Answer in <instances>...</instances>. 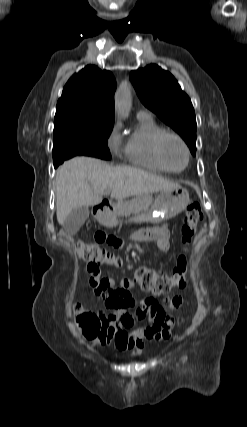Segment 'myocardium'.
Here are the masks:
<instances>
[{
	"instance_id": "obj_1",
	"label": "myocardium",
	"mask_w": 247,
	"mask_h": 427,
	"mask_svg": "<svg viewBox=\"0 0 247 427\" xmlns=\"http://www.w3.org/2000/svg\"><path fill=\"white\" fill-rule=\"evenodd\" d=\"M175 139L177 140L182 147L185 150L186 153V162L185 165L181 168V169H174L172 168L169 163L167 162L165 155H164V144L166 142L167 139ZM155 152L157 155L158 160L160 161V163L169 171V172H174V173H178V172H182L183 170L186 169V167L189 164L190 161V150L189 147L187 145V143L185 142V140L177 133L175 132H171V131H164L163 133H161L158 138L156 139L155 142Z\"/></svg>"
}]
</instances>
